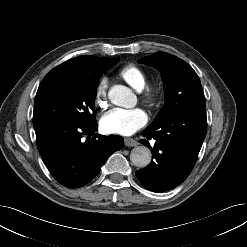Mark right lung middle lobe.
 Wrapping results in <instances>:
<instances>
[{"label": "right lung middle lobe", "mask_w": 247, "mask_h": 247, "mask_svg": "<svg viewBox=\"0 0 247 247\" xmlns=\"http://www.w3.org/2000/svg\"><path fill=\"white\" fill-rule=\"evenodd\" d=\"M119 57L108 59L93 78L68 75L45 76L34 101L33 125L45 122L92 124L96 88L102 74Z\"/></svg>", "instance_id": "right-lung-middle-lobe-1"}]
</instances>
